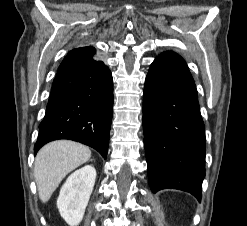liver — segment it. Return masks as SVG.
Returning a JSON list of instances; mask_svg holds the SVG:
<instances>
[{
	"instance_id": "liver-1",
	"label": "liver",
	"mask_w": 247,
	"mask_h": 226,
	"mask_svg": "<svg viewBox=\"0 0 247 226\" xmlns=\"http://www.w3.org/2000/svg\"><path fill=\"white\" fill-rule=\"evenodd\" d=\"M90 157L88 147L73 141L59 140L42 147L36 155L34 167L40 200L47 202L64 177Z\"/></svg>"
}]
</instances>
